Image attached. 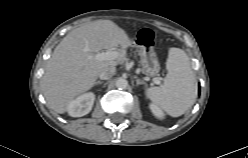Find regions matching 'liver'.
<instances>
[{
  "label": "liver",
  "instance_id": "1",
  "mask_svg": "<svg viewBox=\"0 0 248 158\" xmlns=\"http://www.w3.org/2000/svg\"><path fill=\"white\" fill-rule=\"evenodd\" d=\"M131 45L126 32L110 20L84 24L69 32L54 49L41 78L48 106L57 113L67 111L69 103L93 87L100 72L120 63ZM120 46L115 60H98L103 49Z\"/></svg>",
  "mask_w": 248,
  "mask_h": 158
}]
</instances>
